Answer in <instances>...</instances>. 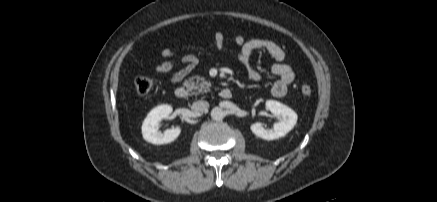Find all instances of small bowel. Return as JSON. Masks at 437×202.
Returning a JSON list of instances; mask_svg holds the SVG:
<instances>
[{
  "mask_svg": "<svg viewBox=\"0 0 437 202\" xmlns=\"http://www.w3.org/2000/svg\"><path fill=\"white\" fill-rule=\"evenodd\" d=\"M225 37L222 32L217 31L214 34V47L217 53H221L225 48ZM233 44L239 48L237 60L245 67L248 77L253 81H259L262 78L261 73L251 65V57L255 51L264 50L277 63L270 68L272 75L276 76V80L271 86V92L275 97H284L287 93L288 86L295 79V72L291 65L285 63L286 52L284 49L272 40L268 39H250L245 40L241 35L234 38ZM163 61L155 66V71L160 74L171 72L176 66L179 69L172 73L171 81L174 84L181 83L198 65V57L194 54H186L177 59L175 51L170 48L161 50Z\"/></svg>",
  "mask_w": 437,
  "mask_h": 202,
  "instance_id": "1",
  "label": "small bowel"
}]
</instances>
